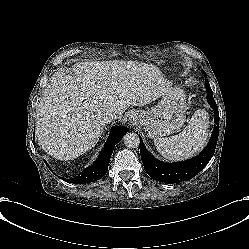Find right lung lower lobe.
<instances>
[{"mask_svg":"<svg viewBox=\"0 0 249 249\" xmlns=\"http://www.w3.org/2000/svg\"><path fill=\"white\" fill-rule=\"evenodd\" d=\"M128 132L125 126H115L105 143L104 149L98 159L81 172L80 175L71 179L75 184L89 183L101 179L108 170L110 157L112 155L115 145L123 138L124 134Z\"/></svg>","mask_w":249,"mask_h":249,"instance_id":"1","label":"right lung lower lobe"}]
</instances>
